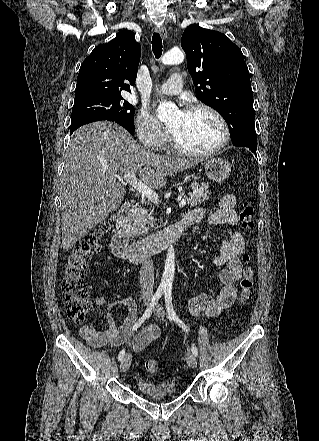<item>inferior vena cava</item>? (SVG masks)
I'll use <instances>...</instances> for the list:
<instances>
[{
  "mask_svg": "<svg viewBox=\"0 0 319 441\" xmlns=\"http://www.w3.org/2000/svg\"><path fill=\"white\" fill-rule=\"evenodd\" d=\"M139 282L141 295L148 298L152 297L154 286V267L153 262L150 258L144 261L140 269Z\"/></svg>",
  "mask_w": 319,
  "mask_h": 441,
  "instance_id": "602c4592",
  "label": "inferior vena cava"
}]
</instances>
